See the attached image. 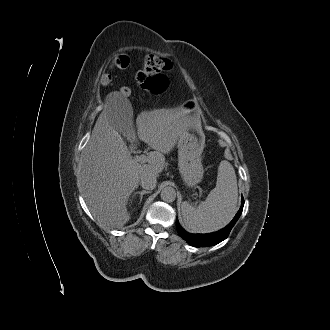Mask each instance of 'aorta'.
<instances>
[{"mask_svg":"<svg viewBox=\"0 0 330 330\" xmlns=\"http://www.w3.org/2000/svg\"><path fill=\"white\" fill-rule=\"evenodd\" d=\"M161 199L165 202H173L176 199V191L173 187L167 186L161 191Z\"/></svg>","mask_w":330,"mask_h":330,"instance_id":"1","label":"aorta"}]
</instances>
